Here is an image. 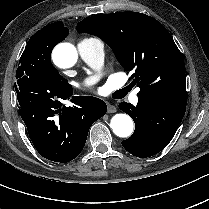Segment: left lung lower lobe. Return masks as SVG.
Here are the masks:
<instances>
[{
    "mask_svg": "<svg viewBox=\"0 0 209 209\" xmlns=\"http://www.w3.org/2000/svg\"><path fill=\"white\" fill-rule=\"evenodd\" d=\"M119 108L135 122L134 133L122 141V145L140 158L153 156L168 145L186 110V106L171 105L148 97H139L136 107L121 102Z\"/></svg>",
    "mask_w": 209,
    "mask_h": 209,
    "instance_id": "1",
    "label": "left lung lower lobe"
}]
</instances>
